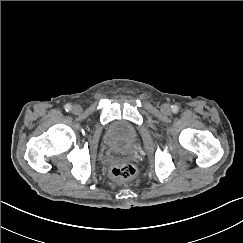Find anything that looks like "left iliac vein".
<instances>
[{
    "instance_id": "4c4485c4",
    "label": "left iliac vein",
    "mask_w": 243,
    "mask_h": 243,
    "mask_svg": "<svg viewBox=\"0 0 243 243\" xmlns=\"http://www.w3.org/2000/svg\"><path fill=\"white\" fill-rule=\"evenodd\" d=\"M161 111L163 112V113H170L171 112V106L169 105V104H163L162 106H161Z\"/></svg>"
}]
</instances>
